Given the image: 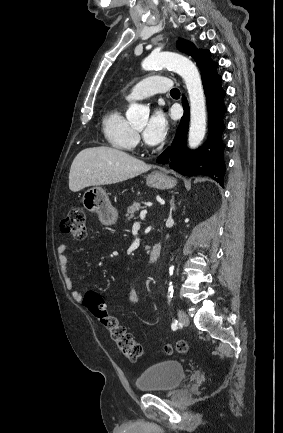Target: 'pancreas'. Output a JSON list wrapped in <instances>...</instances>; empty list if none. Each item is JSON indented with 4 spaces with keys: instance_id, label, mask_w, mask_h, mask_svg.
I'll use <instances>...</instances> for the list:
<instances>
[{
    "instance_id": "1",
    "label": "pancreas",
    "mask_w": 283,
    "mask_h": 433,
    "mask_svg": "<svg viewBox=\"0 0 283 433\" xmlns=\"http://www.w3.org/2000/svg\"><path fill=\"white\" fill-rule=\"evenodd\" d=\"M140 208H144V206H141V202H137V200H134L133 204H131V206H128V210L126 212V217L128 221H130V219H133L134 212H137V210H140Z\"/></svg>"
}]
</instances>
